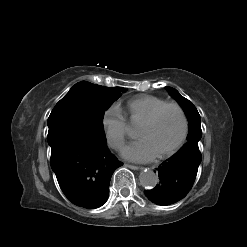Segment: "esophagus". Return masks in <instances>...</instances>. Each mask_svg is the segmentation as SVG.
<instances>
[{
	"label": "esophagus",
	"instance_id": "esophagus-1",
	"mask_svg": "<svg viewBox=\"0 0 247 247\" xmlns=\"http://www.w3.org/2000/svg\"><path fill=\"white\" fill-rule=\"evenodd\" d=\"M125 166L132 169V170H139L140 169L139 166H135V165H131V164H125Z\"/></svg>",
	"mask_w": 247,
	"mask_h": 247
}]
</instances>
